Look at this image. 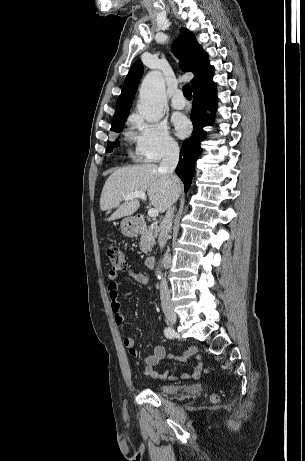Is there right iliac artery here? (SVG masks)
<instances>
[{
	"mask_svg": "<svg viewBox=\"0 0 305 461\" xmlns=\"http://www.w3.org/2000/svg\"><path fill=\"white\" fill-rule=\"evenodd\" d=\"M164 334L167 338L172 339L175 336V331L171 327H166Z\"/></svg>",
	"mask_w": 305,
	"mask_h": 461,
	"instance_id": "obj_1",
	"label": "right iliac artery"
}]
</instances>
